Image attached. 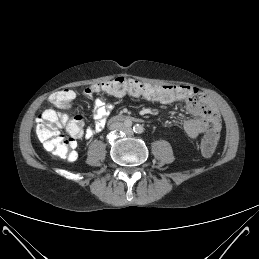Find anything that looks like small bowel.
Returning <instances> with one entry per match:
<instances>
[{
    "mask_svg": "<svg viewBox=\"0 0 259 259\" xmlns=\"http://www.w3.org/2000/svg\"><path fill=\"white\" fill-rule=\"evenodd\" d=\"M175 94L170 96L168 103H163L161 98H148L162 104L174 102H183L187 113L190 115L183 123V128L190 138H196L209 130H216L218 133L221 128V118L210 100L202 95L197 89L189 86L174 85ZM96 91L89 87L85 90V96L92 98ZM118 95L117 97H122ZM112 104L106 102L103 98H96L92 104V114L94 117L93 127H88L82 131L81 137L90 139L99 133L105 126L106 119L110 114ZM77 153L75 152V158Z\"/></svg>",
    "mask_w": 259,
    "mask_h": 259,
    "instance_id": "c3829d8e",
    "label": "small bowel"
}]
</instances>
